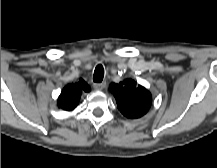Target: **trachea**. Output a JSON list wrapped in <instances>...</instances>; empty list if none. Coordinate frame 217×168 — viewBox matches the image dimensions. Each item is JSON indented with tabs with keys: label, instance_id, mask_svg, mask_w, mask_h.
Listing matches in <instances>:
<instances>
[{
	"label": "trachea",
	"instance_id": "3493384b",
	"mask_svg": "<svg viewBox=\"0 0 217 168\" xmlns=\"http://www.w3.org/2000/svg\"><path fill=\"white\" fill-rule=\"evenodd\" d=\"M104 77V68L101 64L97 65L93 75V81L96 83L102 82Z\"/></svg>",
	"mask_w": 217,
	"mask_h": 168
}]
</instances>
